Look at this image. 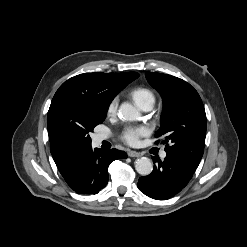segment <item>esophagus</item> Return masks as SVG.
Segmentation results:
<instances>
[{
    "mask_svg": "<svg viewBox=\"0 0 247 247\" xmlns=\"http://www.w3.org/2000/svg\"><path fill=\"white\" fill-rule=\"evenodd\" d=\"M128 156L129 157H141L142 154L140 152H137V151H129Z\"/></svg>",
    "mask_w": 247,
    "mask_h": 247,
    "instance_id": "34e87169",
    "label": "esophagus"
}]
</instances>
